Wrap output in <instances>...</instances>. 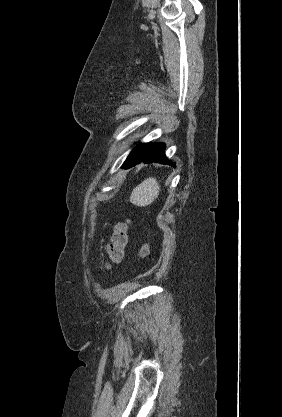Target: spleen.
I'll use <instances>...</instances> for the list:
<instances>
[{
    "mask_svg": "<svg viewBox=\"0 0 282 417\" xmlns=\"http://www.w3.org/2000/svg\"><path fill=\"white\" fill-rule=\"evenodd\" d=\"M159 192L160 186L156 178L149 176L141 184H138L136 188H133L130 200L132 204H137V206H147V204H151L157 198Z\"/></svg>",
    "mask_w": 282,
    "mask_h": 417,
    "instance_id": "3e777b00",
    "label": "spleen"
}]
</instances>
